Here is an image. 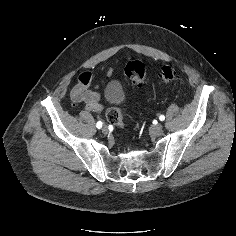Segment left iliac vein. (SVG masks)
Listing matches in <instances>:
<instances>
[{"label": "left iliac vein", "instance_id": "1", "mask_svg": "<svg viewBox=\"0 0 236 236\" xmlns=\"http://www.w3.org/2000/svg\"><path fill=\"white\" fill-rule=\"evenodd\" d=\"M150 132L152 135H160L163 132V126L161 124H157L151 127Z\"/></svg>", "mask_w": 236, "mask_h": 236}]
</instances>
